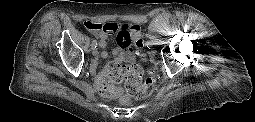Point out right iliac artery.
Here are the masks:
<instances>
[{
  "label": "right iliac artery",
  "mask_w": 255,
  "mask_h": 122,
  "mask_svg": "<svg viewBox=\"0 0 255 122\" xmlns=\"http://www.w3.org/2000/svg\"><path fill=\"white\" fill-rule=\"evenodd\" d=\"M92 44H93V45H97V41L94 39V40L92 41Z\"/></svg>",
  "instance_id": "1"
}]
</instances>
